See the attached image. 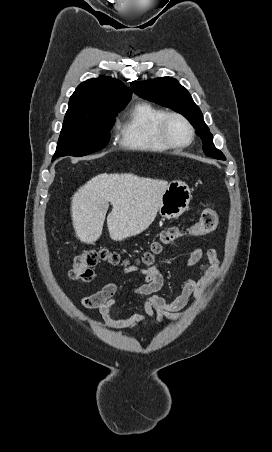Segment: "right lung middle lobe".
<instances>
[{
	"label": "right lung middle lobe",
	"instance_id": "1",
	"mask_svg": "<svg viewBox=\"0 0 272 452\" xmlns=\"http://www.w3.org/2000/svg\"><path fill=\"white\" fill-rule=\"evenodd\" d=\"M118 104L86 117L64 119L53 161L60 156H85L104 148L110 139L114 116L125 105Z\"/></svg>",
	"mask_w": 272,
	"mask_h": 452
}]
</instances>
